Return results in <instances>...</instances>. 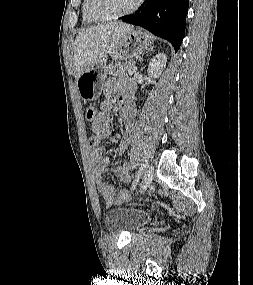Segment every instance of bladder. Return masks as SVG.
Instances as JSON below:
<instances>
[{
	"label": "bladder",
	"mask_w": 253,
	"mask_h": 285,
	"mask_svg": "<svg viewBox=\"0 0 253 285\" xmlns=\"http://www.w3.org/2000/svg\"><path fill=\"white\" fill-rule=\"evenodd\" d=\"M149 221V215L141 210L116 207L109 210L104 218L108 231L112 233H134Z\"/></svg>",
	"instance_id": "1"
}]
</instances>
